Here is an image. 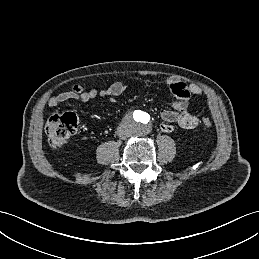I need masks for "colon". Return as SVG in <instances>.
<instances>
[{
	"instance_id": "5ec220e1",
	"label": "colon",
	"mask_w": 259,
	"mask_h": 259,
	"mask_svg": "<svg viewBox=\"0 0 259 259\" xmlns=\"http://www.w3.org/2000/svg\"><path fill=\"white\" fill-rule=\"evenodd\" d=\"M204 129L212 126V121L208 117L202 119ZM78 127V119L73 113L54 115L46 123L45 131L48 142L53 148H62L68 140L75 134Z\"/></svg>"
}]
</instances>
